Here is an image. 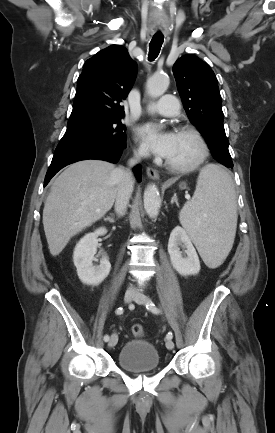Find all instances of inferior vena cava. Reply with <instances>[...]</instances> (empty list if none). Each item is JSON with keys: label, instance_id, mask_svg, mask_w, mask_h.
I'll list each match as a JSON object with an SVG mask.
<instances>
[{"label": "inferior vena cava", "instance_id": "inferior-vena-cava-1", "mask_svg": "<svg viewBox=\"0 0 275 433\" xmlns=\"http://www.w3.org/2000/svg\"><path fill=\"white\" fill-rule=\"evenodd\" d=\"M142 155L143 152L139 151L136 154V157L129 161V166L133 167L134 165H136ZM118 174L122 179V184L115 201V211L119 216H123L126 212L127 204L133 191L134 181L132 177V172L130 170L125 171L122 169H118Z\"/></svg>", "mask_w": 275, "mask_h": 433}]
</instances>
